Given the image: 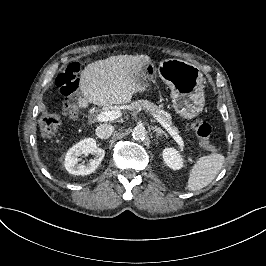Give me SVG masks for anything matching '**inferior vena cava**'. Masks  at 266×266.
<instances>
[{
    "label": "inferior vena cava",
    "mask_w": 266,
    "mask_h": 266,
    "mask_svg": "<svg viewBox=\"0 0 266 266\" xmlns=\"http://www.w3.org/2000/svg\"><path fill=\"white\" fill-rule=\"evenodd\" d=\"M113 133V127L108 124H101L96 127L95 134L99 139H108Z\"/></svg>",
    "instance_id": "obj_1"
}]
</instances>
